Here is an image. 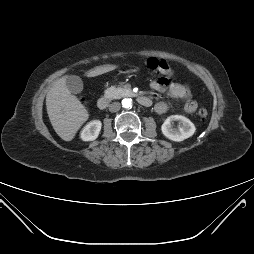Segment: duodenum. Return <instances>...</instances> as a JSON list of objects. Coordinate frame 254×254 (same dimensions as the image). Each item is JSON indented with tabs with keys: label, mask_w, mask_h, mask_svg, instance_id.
<instances>
[{
	"label": "duodenum",
	"mask_w": 254,
	"mask_h": 254,
	"mask_svg": "<svg viewBox=\"0 0 254 254\" xmlns=\"http://www.w3.org/2000/svg\"><path fill=\"white\" fill-rule=\"evenodd\" d=\"M137 101L139 104H141L142 106H145V107H149L152 104L151 99L149 97L143 96V95H138ZM108 104H109V99L107 97H101L97 101V107L100 110L106 109Z\"/></svg>",
	"instance_id": "duodenum-1"
}]
</instances>
